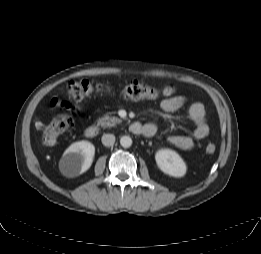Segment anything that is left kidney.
Wrapping results in <instances>:
<instances>
[{
    "label": "left kidney",
    "instance_id": "obj_1",
    "mask_svg": "<svg viewBox=\"0 0 261 254\" xmlns=\"http://www.w3.org/2000/svg\"><path fill=\"white\" fill-rule=\"evenodd\" d=\"M155 160L160 170L173 177H183L186 174V164L178 153L169 149L156 152Z\"/></svg>",
    "mask_w": 261,
    "mask_h": 254
}]
</instances>
